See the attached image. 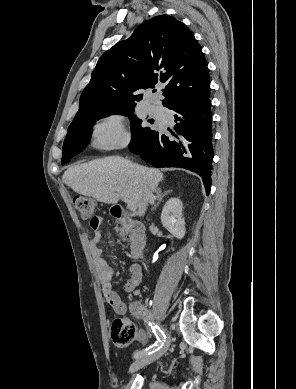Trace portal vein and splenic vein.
Returning a JSON list of instances; mask_svg holds the SVG:
<instances>
[{"label":"portal vein and splenic vein","mask_w":296,"mask_h":389,"mask_svg":"<svg viewBox=\"0 0 296 389\" xmlns=\"http://www.w3.org/2000/svg\"><path fill=\"white\" fill-rule=\"evenodd\" d=\"M120 197L127 204V208L130 211H132V212L136 211L137 206H136L135 202L128 200L127 197L125 196V194L122 192H120Z\"/></svg>","instance_id":"18ae733b"}]
</instances>
